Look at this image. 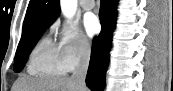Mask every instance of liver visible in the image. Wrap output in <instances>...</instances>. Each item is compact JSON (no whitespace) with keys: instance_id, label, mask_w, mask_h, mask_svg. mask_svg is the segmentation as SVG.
Here are the masks:
<instances>
[{"instance_id":"1","label":"liver","mask_w":173,"mask_h":91,"mask_svg":"<svg viewBox=\"0 0 173 91\" xmlns=\"http://www.w3.org/2000/svg\"><path fill=\"white\" fill-rule=\"evenodd\" d=\"M12 91H81L71 78H38L22 76L18 78ZM87 91V90H85Z\"/></svg>"}]
</instances>
